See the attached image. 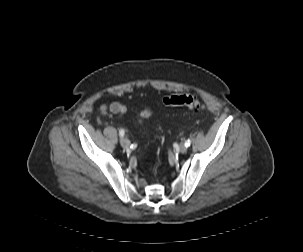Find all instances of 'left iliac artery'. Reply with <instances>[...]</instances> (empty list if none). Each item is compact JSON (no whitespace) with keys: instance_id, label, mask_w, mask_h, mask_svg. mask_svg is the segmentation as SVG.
Returning <instances> with one entry per match:
<instances>
[{"instance_id":"1","label":"left iliac artery","mask_w":303,"mask_h":252,"mask_svg":"<svg viewBox=\"0 0 303 252\" xmlns=\"http://www.w3.org/2000/svg\"><path fill=\"white\" fill-rule=\"evenodd\" d=\"M190 144H191V141L189 139L185 141V146L186 147L190 146Z\"/></svg>"}]
</instances>
